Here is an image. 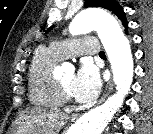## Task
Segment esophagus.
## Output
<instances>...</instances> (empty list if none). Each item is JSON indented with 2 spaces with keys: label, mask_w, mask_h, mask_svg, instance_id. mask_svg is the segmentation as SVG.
<instances>
[{
  "label": "esophagus",
  "mask_w": 153,
  "mask_h": 134,
  "mask_svg": "<svg viewBox=\"0 0 153 134\" xmlns=\"http://www.w3.org/2000/svg\"><path fill=\"white\" fill-rule=\"evenodd\" d=\"M113 89V82L112 80L110 79L109 82L107 83L106 85V88H105V91L103 93V96L101 97V99L99 100V103H102L105 98L109 95V93L112 91ZM77 116L74 115L73 119H75Z\"/></svg>",
  "instance_id": "obj_1"
}]
</instances>
